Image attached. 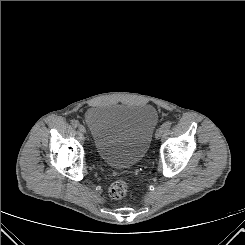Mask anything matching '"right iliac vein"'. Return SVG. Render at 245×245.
Returning <instances> with one entry per match:
<instances>
[{
  "mask_svg": "<svg viewBox=\"0 0 245 245\" xmlns=\"http://www.w3.org/2000/svg\"><path fill=\"white\" fill-rule=\"evenodd\" d=\"M79 130H80V132H82V133H86V129H85V127L82 126V125L79 126Z\"/></svg>",
  "mask_w": 245,
  "mask_h": 245,
  "instance_id": "right-iliac-vein-1",
  "label": "right iliac vein"
}]
</instances>
